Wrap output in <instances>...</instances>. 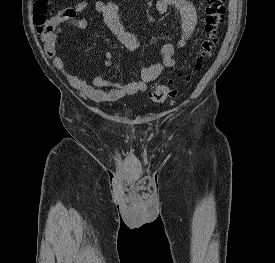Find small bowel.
Here are the masks:
<instances>
[{
    "label": "small bowel",
    "mask_w": 275,
    "mask_h": 263,
    "mask_svg": "<svg viewBox=\"0 0 275 263\" xmlns=\"http://www.w3.org/2000/svg\"><path fill=\"white\" fill-rule=\"evenodd\" d=\"M89 8H93L100 15L108 30L117 37L126 49L129 51L139 49L138 38L126 30L120 21L118 3L102 0H82L74 6L61 10L51 19L42 36V41L46 56L53 61L55 68L65 77L67 82L81 92L83 96L96 102H115L123 97L145 92L148 83L160 77L165 69H172L176 66L174 59L176 49L185 47L197 25V9L193 2L189 0H157L155 10L158 14H166L170 8H175L181 19L180 38L176 42L170 39L163 42L160 48L161 61L142 67L139 72V79L124 85L117 84L103 76H96L92 82H88L67 70L62 58L57 54L56 44L63 24H69L75 29L87 28L88 19L82 14ZM103 63L107 68L112 65L113 55L111 52L104 54Z\"/></svg>",
    "instance_id": "1"
}]
</instances>
